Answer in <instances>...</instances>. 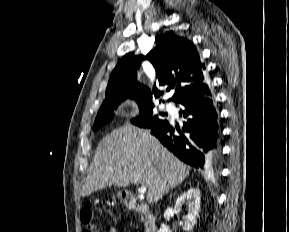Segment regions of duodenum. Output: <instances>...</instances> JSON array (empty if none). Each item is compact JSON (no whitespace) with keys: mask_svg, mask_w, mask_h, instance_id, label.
I'll use <instances>...</instances> for the list:
<instances>
[{"mask_svg":"<svg viewBox=\"0 0 289 232\" xmlns=\"http://www.w3.org/2000/svg\"><path fill=\"white\" fill-rule=\"evenodd\" d=\"M125 206L138 212L144 222L145 232H157L156 217L151 213L146 205L139 204L134 195L129 191H123L121 194Z\"/></svg>","mask_w":289,"mask_h":232,"instance_id":"duodenum-1","label":"duodenum"}]
</instances>
